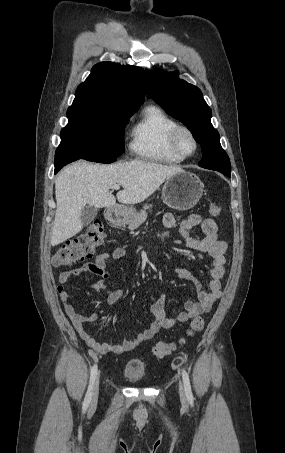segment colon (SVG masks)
Instances as JSON below:
<instances>
[{"label": "colon", "instance_id": "obj_1", "mask_svg": "<svg viewBox=\"0 0 285 453\" xmlns=\"http://www.w3.org/2000/svg\"><path fill=\"white\" fill-rule=\"evenodd\" d=\"M212 217H218L221 214V208L217 204H210L208 208ZM105 237L104 226L100 220H94L86 231L61 245L53 256L54 266H69L80 262L92 256L95 248L100 245ZM204 327V319L200 316L195 317L188 330L187 335L192 336L200 332ZM181 340L180 343H183ZM177 345L175 343L159 342L153 348V355L162 359L170 355Z\"/></svg>", "mask_w": 285, "mask_h": 453}]
</instances>
